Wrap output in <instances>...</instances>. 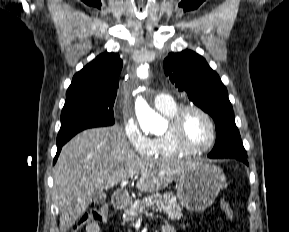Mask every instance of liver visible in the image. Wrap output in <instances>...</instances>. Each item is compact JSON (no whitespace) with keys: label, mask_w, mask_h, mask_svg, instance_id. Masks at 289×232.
Instances as JSON below:
<instances>
[{"label":"liver","mask_w":289,"mask_h":232,"mask_svg":"<svg viewBox=\"0 0 289 232\" xmlns=\"http://www.w3.org/2000/svg\"><path fill=\"white\" fill-rule=\"evenodd\" d=\"M191 163L137 155L118 126L79 133L63 146L53 170V198L60 213V232L69 230L85 213L96 192L138 175L139 191H160Z\"/></svg>","instance_id":"obj_1"}]
</instances>
